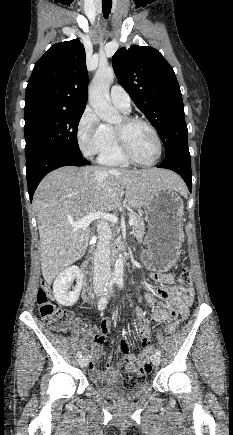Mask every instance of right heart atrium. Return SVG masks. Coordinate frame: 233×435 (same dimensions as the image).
I'll use <instances>...</instances> for the list:
<instances>
[{
  "label": "right heart atrium",
  "mask_w": 233,
  "mask_h": 435,
  "mask_svg": "<svg viewBox=\"0 0 233 435\" xmlns=\"http://www.w3.org/2000/svg\"><path fill=\"white\" fill-rule=\"evenodd\" d=\"M76 135L79 147L85 156L100 155L106 147L105 125L91 108L85 109L82 113Z\"/></svg>",
  "instance_id": "1"
}]
</instances>
